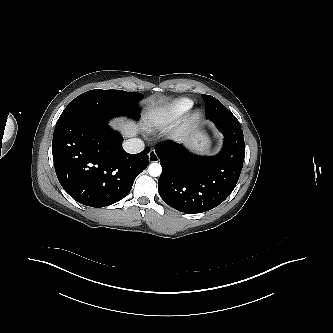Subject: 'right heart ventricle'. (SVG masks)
Here are the masks:
<instances>
[{"instance_id":"e07e8e85","label":"right heart ventricle","mask_w":333,"mask_h":333,"mask_svg":"<svg viewBox=\"0 0 333 333\" xmlns=\"http://www.w3.org/2000/svg\"><path fill=\"white\" fill-rule=\"evenodd\" d=\"M193 102L187 98H179L158 108L152 113L151 122L156 126L167 124L183 115L192 107Z\"/></svg>"}]
</instances>
